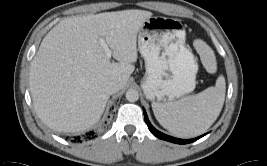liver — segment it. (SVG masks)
Segmentation results:
<instances>
[{"instance_id": "6515ba94", "label": "liver", "mask_w": 267, "mask_h": 166, "mask_svg": "<svg viewBox=\"0 0 267 166\" xmlns=\"http://www.w3.org/2000/svg\"><path fill=\"white\" fill-rule=\"evenodd\" d=\"M144 10H122L71 17L42 40L30 68V91L40 119L58 132H80L101 117L110 94L105 86L127 84L137 61V35L152 17ZM104 38L118 62L99 43Z\"/></svg>"}]
</instances>
